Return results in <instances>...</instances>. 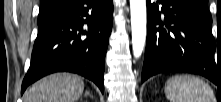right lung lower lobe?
Instances as JSON below:
<instances>
[{
    "label": "right lung lower lobe",
    "mask_w": 221,
    "mask_h": 102,
    "mask_svg": "<svg viewBox=\"0 0 221 102\" xmlns=\"http://www.w3.org/2000/svg\"><path fill=\"white\" fill-rule=\"evenodd\" d=\"M112 0H69L38 21L28 85L54 72H73L92 80L104 93L105 54L112 30Z\"/></svg>",
    "instance_id": "1"
}]
</instances>
